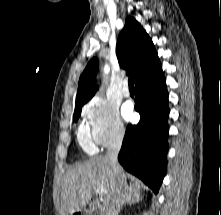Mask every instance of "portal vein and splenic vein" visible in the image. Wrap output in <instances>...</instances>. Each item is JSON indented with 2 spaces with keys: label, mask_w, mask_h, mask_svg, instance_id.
I'll list each match as a JSON object with an SVG mask.
<instances>
[{
  "label": "portal vein and splenic vein",
  "mask_w": 221,
  "mask_h": 215,
  "mask_svg": "<svg viewBox=\"0 0 221 215\" xmlns=\"http://www.w3.org/2000/svg\"><path fill=\"white\" fill-rule=\"evenodd\" d=\"M98 193H102V190H97Z\"/></svg>",
  "instance_id": "portal-vein-and-splenic-vein-1"
}]
</instances>
